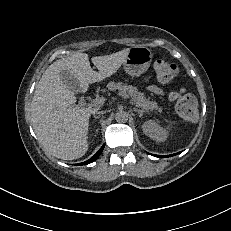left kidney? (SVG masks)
Masks as SVG:
<instances>
[{
  "label": "left kidney",
  "mask_w": 231,
  "mask_h": 231,
  "mask_svg": "<svg viewBox=\"0 0 231 231\" xmlns=\"http://www.w3.org/2000/svg\"><path fill=\"white\" fill-rule=\"evenodd\" d=\"M142 130L146 136L156 142H164L168 137V131L154 120L145 121L142 125Z\"/></svg>",
  "instance_id": "obj_1"
}]
</instances>
